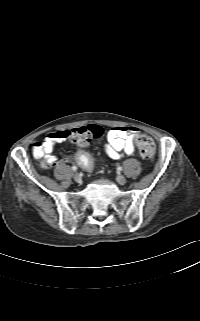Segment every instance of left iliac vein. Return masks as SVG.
<instances>
[{"mask_svg": "<svg viewBox=\"0 0 200 321\" xmlns=\"http://www.w3.org/2000/svg\"><path fill=\"white\" fill-rule=\"evenodd\" d=\"M116 181L121 184V185H124L126 183V178L123 176V175H118L116 177Z\"/></svg>", "mask_w": 200, "mask_h": 321, "instance_id": "left-iliac-vein-1", "label": "left iliac vein"}]
</instances>
